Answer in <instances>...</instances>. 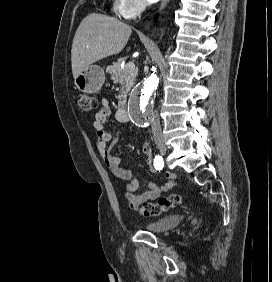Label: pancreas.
Here are the masks:
<instances>
[{
  "instance_id": "cf45deb5",
  "label": "pancreas",
  "mask_w": 272,
  "mask_h": 282,
  "mask_svg": "<svg viewBox=\"0 0 272 282\" xmlns=\"http://www.w3.org/2000/svg\"><path fill=\"white\" fill-rule=\"evenodd\" d=\"M106 72L110 74L111 79L115 84H122L118 96V105H124L126 102L127 94L135 83L137 71L125 70L121 67V61H116L106 68Z\"/></svg>"
}]
</instances>
